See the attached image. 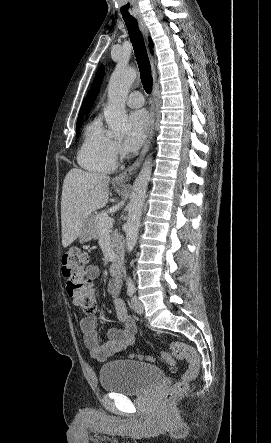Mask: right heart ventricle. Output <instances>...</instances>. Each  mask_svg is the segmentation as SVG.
<instances>
[{"label":"right heart ventricle","mask_w":271,"mask_h":443,"mask_svg":"<svg viewBox=\"0 0 271 443\" xmlns=\"http://www.w3.org/2000/svg\"><path fill=\"white\" fill-rule=\"evenodd\" d=\"M81 167L94 173H111L117 166L115 139L103 128L99 116L86 126L77 154Z\"/></svg>","instance_id":"right-heart-ventricle-1"}]
</instances>
